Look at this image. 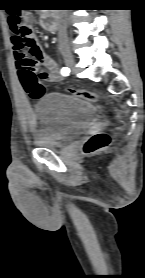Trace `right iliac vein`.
<instances>
[{
    "label": "right iliac vein",
    "instance_id": "1",
    "mask_svg": "<svg viewBox=\"0 0 145 278\" xmlns=\"http://www.w3.org/2000/svg\"><path fill=\"white\" fill-rule=\"evenodd\" d=\"M62 55H63L64 62L68 66V68L74 70L75 61H74L72 54L68 50H64L62 52Z\"/></svg>",
    "mask_w": 145,
    "mask_h": 278
}]
</instances>
